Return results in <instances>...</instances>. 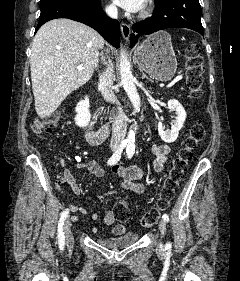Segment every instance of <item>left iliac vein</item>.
I'll return each mask as SVG.
<instances>
[{
  "instance_id": "4c4485c4",
  "label": "left iliac vein",
  "mask_w": 240,
  "mask_h": 281,
  "mask_svg": "<svg viewBox=\"0 0 240 281\" xmlns=\"http://www.w3.org/2000/svg\"><path fill=\"white\" fill-rule=\"evenodd\" d=\"M158 227H159V230L162 234L165 233V230H166V224H165V221L164 220H160L159 223H158ZM158 250L159 251H163V244L160 243L159 246H158Z\"/></svg>"
}]
</instances>
